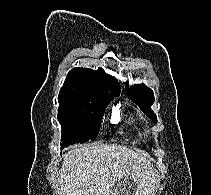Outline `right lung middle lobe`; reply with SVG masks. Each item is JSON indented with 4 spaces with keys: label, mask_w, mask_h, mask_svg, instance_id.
I'll return each instance as SVG.
<instances>
[{
    "label": "right lung middle lobe",
    "mask_w": 211,
    "mask_h": 195,
    "mask_svg": "<svg viewBox=\"0 0 211 195\" xmlns=\"http://www.w3.org/2000/svg\"><path fill=\"white\" fill-rule=\"evenodd\" d=\"M108 104L59 100L58 121L62 126L61 149L97 137Z\"/></svg>",
    "instance_id": "dd1d6c3e"
}]
</instances>
